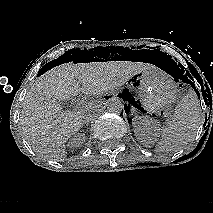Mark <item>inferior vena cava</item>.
<instances>
[{
	"label": "inferior vena cava",
	"mask_w": 213,
	"mask_h": 213,
	"mask_svg": "<svg viewBox=\"0 0 213 213\" xmlns=\"http://www.w3.org/2000/svg\"><path fill=\"white\" fill-rule=\"evenodd\" d=\"M97 111V108L88 104L85 106L83 119L85 122H89L92 118L95 117V113Z\"/></svg>",
	"instance_id": "1"
}]
</instances>
